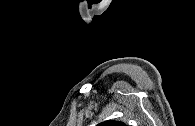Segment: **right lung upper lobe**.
Masks as SVG:
<instances>
[{
    "instance_id": "obj_1",
    "label": "right lung upper lobe",
    "mask_w": 195,
    "mask_h": 126,
    "mask_svg": "<svg viewBox=\"0 0 195 126\" xmlns=\"http://www.w3.org/2000/svg\"><path fill=\"white\" fill-rule=\"evenodd\" d=\"M97 126H125V124L119 121H105L98 124Z\"/></svg>"
}]
</instances>
